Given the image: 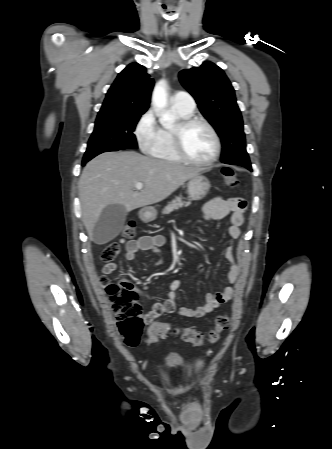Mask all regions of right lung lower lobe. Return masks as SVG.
I'll return each mask as SVG.
<instances>
[{
	"instance_id": "obj_1",
	"label": "right lung lower lobe",
	"mask_w": 332,
	"mask_h": 449,
	"mask_svg": "<svg viewBox=\"0 0 332 449\" xmlns=\"http://www.w3.org/2000/svg\"><path fill=\"white\" fill-rule=\"evenodd\" d=\"M87 162H88V161H83V162H82V165H85Z\"/></svg>"
}]
</instances>
